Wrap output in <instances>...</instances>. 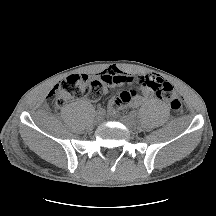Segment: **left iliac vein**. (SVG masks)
Wrapping results in <instances>:
<instances>
[{
  "label": "left iliac vein",
  "instance_id": "left-iliac-vein-1",
  "mask_svg": "<svg viewBox=\"0 0 216 216\" xmlns=\"http://www.w3.org/2000/svg\"><path fill=\"white\" fill-rule=\"evenodd\" d=\"M121 122L130 130L135 129L136 127V120L132 115L122 116Z\"/></svg>",
  "mask_w": 216,
  "mask_h": 216
}]
</instances>
